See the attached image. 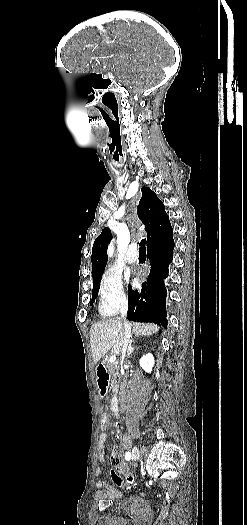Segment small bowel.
<instances>
[{"label":"small bowel","mask_w":247,"mask_h":525,"mask_svg":"<svg viewBox=\"0 0 247 525\" xmlns=\"http://www.w3.org/2000/svg\"><path fill=\"white\" fill-rule=\"evenodd\" d=\"M107 440V434L106 433H101L100 436H99V440H98V450H97V459L100 463V466L96 468V487L100 490H104V487L106 485V482H105V479L102 477V469L105 467V464H106V456H105V442ZM111 460L113 463V466L115 468H119L121 466V462H122V459H121V456L120 454L116 451L114 452L112 455H111ZM113 468L114 472L116 474H112L110 476V479L112 481H115V486L117 488H123L125 486V481L123 479H119V476L117 475V471L118 469H115ZM126 479L128 481H131L132 479H134V476H132L131 474H128L126 476ZM136 485H137V482L135 480H132L130 482V484L127 486V491L129 493H134L136 491ZM107 495L109 497H114V496H120L121 493L120 491L114 489V488H109L107 490Z\"/></svg>","instance_id":"c3829d8e"}]
</instances>
